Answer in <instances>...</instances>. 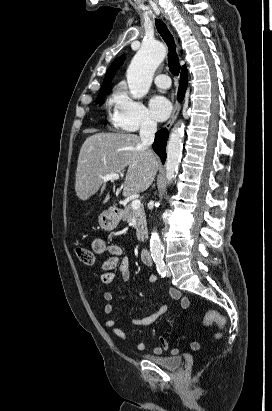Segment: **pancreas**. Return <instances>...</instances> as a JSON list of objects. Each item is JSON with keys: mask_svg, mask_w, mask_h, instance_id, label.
<instances>
[{"mask_svg": "<svg viewBox=\"0 0 272 411\" xmlns=\"http://www.w3.org/2000/svg\"><path fill=\"white\" fill-rule=\"evenodd\" d=\"M132 218L136 219L137 239L143 241L147 233L144 207L140 206V208L134 210L132 209L131 204H128L122 212L121 219L126 222H131Z\"/></svg>", "mask_w": 272, "mask_h": 411, "instance_id": "pancreas-1", "label": "pancreas"}]
</instances>
